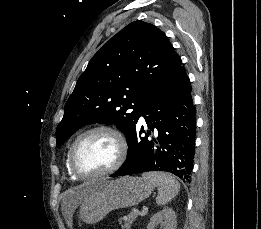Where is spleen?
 <instances>
[{
	"label": "spleen",
	"mask_w": 261,
	"mask_h": 229,
	"mask_svg": "<svg viewBox=\"0 0 261 229\" xmlns=\"http://www.w3.org/2000/svg\"><path fill=\"white\" fill-rule=\"evenodd\" d=\"M142 177L157 187V205H167V203H170L171 199H174L180 189V183H178L177 179L171 173L150 171V173H143Z\"/></svg>",
	"instance_id": "spleen-1"
}]
</instances>
